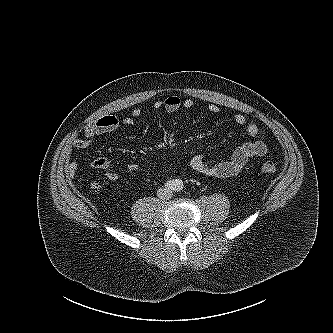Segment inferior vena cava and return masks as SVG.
Here are the masks:
<instances>
[{
  "instance_id": "1",
  "label": "inferior vena cava",
  "mask_w": 333,
  "mask_h": 333,
  "mask_svg": "<svg viewBox=\"0 0 333 333\" xmlns=\"http://www.w3.org/2000/svg\"><path fill=\"white\" fill-rule=\"evenodd\" d=\"M157 195L160 199L168 200V199L171 198L172 192L170 190H167V189H159V191L157 192Z\"/></svg>"
}]
</instances>
